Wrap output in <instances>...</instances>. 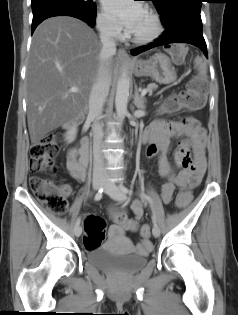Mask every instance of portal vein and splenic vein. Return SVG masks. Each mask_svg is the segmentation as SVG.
Segmentation results:
<instances>
[{
  "label": "portal vein and splenic vein",
  "instance_id": "portal-vein-and-splenic-vein-1",
  "mask_svg": "<svg viewBox=\"0 0 238 315\" xmlns=\"http://www.w3.org/2000/svg\"><path fill=\"white\" fill-rule=\"evenodd\" d=\"M78 91H79V89L76 88V87L70 88V92H78ZM147 92H148L147 89H143V90L141 91V95L144 96V95H146Z\"/></svg>",
  "mask_w": 238,
  "mask_h": 315
}]
</instances>
